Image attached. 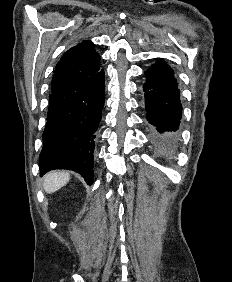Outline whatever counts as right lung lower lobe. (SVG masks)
Returning a JSON list of instances; mask_svg holds the SVG:
<instances>
[{
	"mask_svg": "<svg viewBox=\"0 0 232 282\" xmlns=\"http://www.w3.org/2000/svg\"><path fill=\"white\" fill-rule=\"evenodd\" d=\"M105 75L101 69L49 97L40 153V175L68 169L93 183L94 145L104 105Z\"/></svg>",
	"mask_w": 232,
	"mask_h": 282,
	"instance_id": "98d812e1",
	"label": "right lung lower lobe"
}]
</instances>
